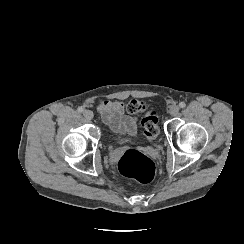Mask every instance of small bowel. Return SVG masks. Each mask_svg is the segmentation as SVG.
<instances>
[{
	"mask_svg": "<svg viewBox=\"0 0 244 244\" xmlns=\"http://www.w3.org/2000/svg\"><path fill=\"white\" fill-rule=\"evenodd\" d=\"M98 112L104 124L116 135L133 140L138 134V119L127 113L121 101L105 100L98 104Z\"/></svg>",
	"mask_w": 244,
	"mask_h": 244,
	"instance_id": "small-bowel-1",
	"label": "small bowel"
}]
</instances>
